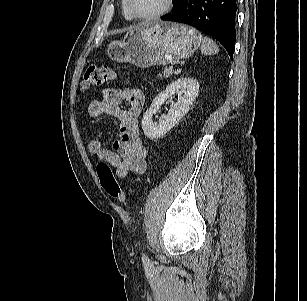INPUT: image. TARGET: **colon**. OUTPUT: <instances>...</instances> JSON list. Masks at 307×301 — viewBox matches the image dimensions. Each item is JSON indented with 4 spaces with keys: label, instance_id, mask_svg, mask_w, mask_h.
<instances>
[{
    "label": "colon",
    "instance_id": "colon-1",
    "mask_svg": "<svg viewBox=\"0 0 307 301\" xmlns=\"http://www.w3.org/2000/svg\"><path fill=\"white\" fill-rule=\"evenodd\" d=\"M117 78L116 72L107 65L91 64L87 67L81 82L82 90H89L102 85L105 82L113 81ZM97 175L104 191L122 205H127V197L115 178L111 166L106 162H99L97 165Z\"/></svg>",
    "mask_w": 307,
    "mask_h": 301
}]
</instances>
